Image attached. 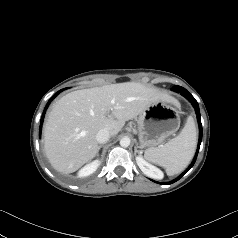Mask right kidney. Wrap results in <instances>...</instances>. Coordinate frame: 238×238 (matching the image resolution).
Wrapping results in <instances>:
<instances>
[{
	"mask_svg": "<svg viewBox=\"0 0 238 238\" xmlns=\"http://www.w3.org/2000/svg\"><path fill=\"white\" fill-rule=\"evenodd\" d=\"M99 164H100L99 161L95 160L92 163L86 165L84 168H82L79 171V177H85V176H88V175L92 174L93 172L96 171V169L98 168Z\"/></svg>",
	"mask_w": 238,
	"mask_h": 238,
	"instance_id": "ca27d5eb",
	"label": "right kidney"
}]
</instances>
